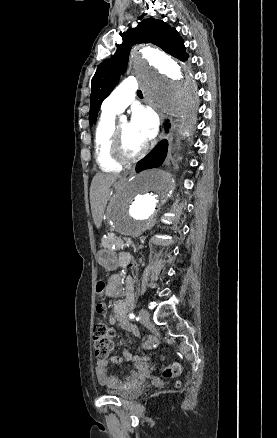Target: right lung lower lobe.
Instances as JSON below:
<instances>
[{
  "label": "right lung lower lobe",
  "mask_w": 277,
  "mask_h": 438,
  "mask_svg": "<svg viewBox=\"0 0 277 438\" xmlns=\"http://www.w3.org/2000/svg\"><path fill=\"white\" fill-rule=\"evenodd\" d=\"M168 144L164 140L160 142L155 149L137 166L139 170L159 167L167 154Z\"/></svg>",
  "instance_id": "1"
}]
</instances>
